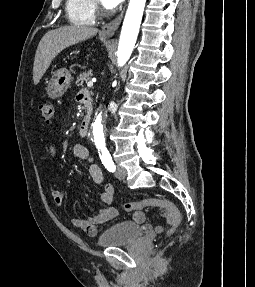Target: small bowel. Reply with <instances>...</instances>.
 I'll use <instances>...</instances> for the list:
<instances>
[{
  "label": "small bowel",
  "instance_id": "small-bowel-1",
  "mask_svg": "<svg viewBox=\"0 0 255 287\" xmlns=\"http://www.w3.org/2000/svg\"><path fill=\"white\" fill-rule=\"evenodd\" d=\"M49 155L51 158H55L57 155V149L55 145H50L49 146ZM69 151L71 154H73L76 158L85 161L88 164V172L89 175L92 179V181L100 185L103 182V172L101 168L94 163L93 158L89 152V150L82 144L79 143H73L69 145ZM52 199L53 202L57 206H61L64 201V195L60 190H53L52 191ZM101 201L104 204L110 205L113 202L114 199V188L110 184H106L102 192L100 194ZM119 212V208L115 205H110L104 208H101L98 210V212L88 218V219H81V218H74L72 219V224L85 231L87 234L91 236H95L100 232L99 225H102L104 223H107L114 219ZM160 215L163 217L164 222L167 224H170V217L168 212L165 209H161L159 211ZM132 220L133 222L142 225L145 231L151 232V233H161L164 230V226L159 224V225H151L146 223V217L145 214L138 210L135 211L132 215Z\"/></svg>",
  "mask_w": 255,
  "mask_h": 287
}]
</instances>
